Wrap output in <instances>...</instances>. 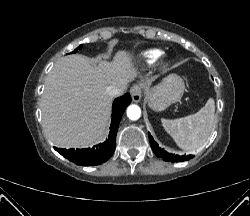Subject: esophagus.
Listing matches in <instances>:
<instances>
[{
  "mask_svg": "<svg viewBox=\"0 0 250 216\" xmlns=\"http://www.w3.org/2000/svg\"><path fill=\"white\" fill-rule=\"evenodd\" d=\"M130 94L133 102H139L141 99L142 89L139 85H134L130 88Z\"/></svg>",
  "mask_w": 250,
  "mask_h": 216,
  "instance_id": "34e87169",
  "label": "esophagus"
}]
</instances>
